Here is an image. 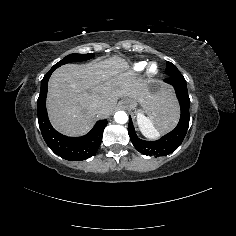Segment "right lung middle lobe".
Listing matches in <instances>:
<instances>
[{
  "label": "right lung middle lobe",
  "instance_id": "dd1d6c3e",
  "mask_svg": "<svg viewBox=\"0 0 236 236\" xmlns=\"http://www.w3.org/2000/svg\"><path fill=\"white\" fill-rule=\"evenodd\" d=\"M94 54H70L68 56H66L64 59H62L61 61H59L56 65H54L52 67V69H56L61 65H64L66 63H70V62H78V61H85V60H89L91 58H93Z\"/></svg>",
  "mask_w": 236,
  "mask_h": 236
}]
</instances>
